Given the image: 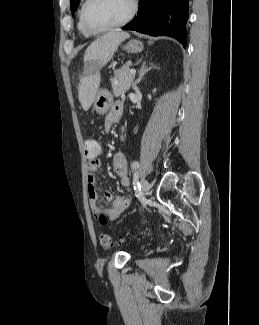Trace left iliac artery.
Masks as SVG:
<instances>
[{
  "instance_id": "1",
  "label": "left iliac artery",
  "mask_w": 259,
  "mask_h": 325,
  "mask_svg": "<svg viewBox=\"0 0 259 325\" xmlns=\"http://www.w3.org/2000/svg\"><path fill=\"white\" fill-rule=\"evenodd\" d=\"M131 167L132 169L133 168H139V163L137 161H134L132 164H131ZM139 185V184H138Z\"/></svg>"
}]
</instances>
